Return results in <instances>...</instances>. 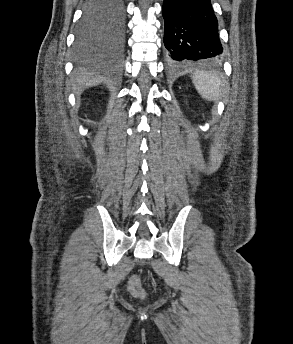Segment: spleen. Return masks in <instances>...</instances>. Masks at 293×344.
Here are the masks:
<instances>
[{
  "instance_id": "1",
  "label": "spleen",
  "mask_w": 293,
  "mask_h": 344,
  "mask_svg": "<svg viewBox=\"0 0 293 344\" xmlns=\"http://www.w3.org/2000/svg\"><path fill=\"white\" fill-rule=\"evenodd\" d=\"M192 81L196 90L204 99L215 101L219 98L222 82L216 73L199 71L194 74Z\"/></svg>"
}]
</instances>
